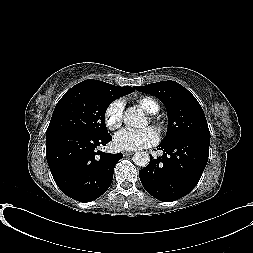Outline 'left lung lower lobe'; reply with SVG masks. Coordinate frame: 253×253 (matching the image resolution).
<instances>
[{
  "label": "left lung lower lobe",
  "mask_w": 253,
  "mask_h": 253,
  "mask_svg": "<svg viewBox=\"0 0 253 253\" xmlns=\"http://www.w3.org/2000/svg\"><path fill=\"white\" fill-rule=\"evenodd\" d=\"M210 137L185 134L160 143L164 154L139 171L145 190L158 200L174 201L187 195L199 182L209 155Z\"/></svg>",
  "instance_id": "1"
}]
</instances>
